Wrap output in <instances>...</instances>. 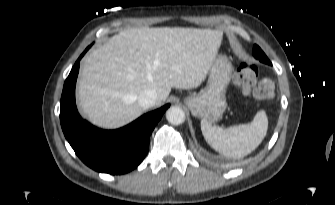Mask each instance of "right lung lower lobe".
Wrapping results in <instances>:
<instances>
[{
    "label": "right lung lower lobe",
    "mask_w": 335,
    "mask_h": 205,
    "mask_svg": "<svg viewBox=\"0 0 335 205\" xmlns=\"http://www.w3.org/2000/svg\"><path fill=\"white\" fill-rule=\"evenodd\" d=\"M81 54L67 77L60 102L63 133L76 155L90 168L124 174L137 167L149 149L150 135L170 104L147 113L117 130L98 129L84 121L75 104V85Z\"/></svg>",
    "instance_id": "1"
}]
</instances>
